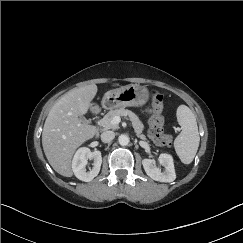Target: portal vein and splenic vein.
Masks as SVG:
<instances>
[{
  "label": "portal vein and splenic vein",
  "instance_id": "18ae733b",
  "mask_svg": "<svg viewBox=\"0 0 243 243\" xmlns=\"http://www.w3.org/2000/svg\"><path fill=\"white\" fill-rule=\"evenodd\" d=\"M111 122H112V124H115V125L119 124L121 122L120 116L113 117Z\"/></svg>",
  "mask_w": 243,
  "mask_h": 243
}]
</instances>
